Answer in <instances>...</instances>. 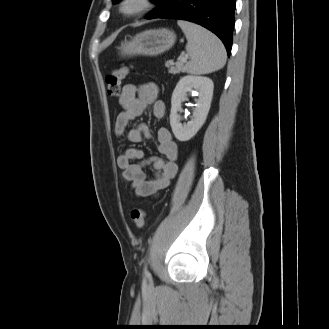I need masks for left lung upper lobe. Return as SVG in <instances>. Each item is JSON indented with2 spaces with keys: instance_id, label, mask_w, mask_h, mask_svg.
<instances>
[{
  "instance_id": "obj_1",
  "label": "left lung upper lobe",
  "mask_w": 329,
  "mask_h": 329,
  "mask_svg": "<svg viewBox=\"0 0 329 329\" xmlns=\"http://www.w3.org/2000/svg\"><path fill=\"white\" fill-rule=\"evenodd\" d=\"M113 3L117 2V1H120V0H112ZM154 3H157L159 0H152Z\"/></svg>"
}]
</instances>
